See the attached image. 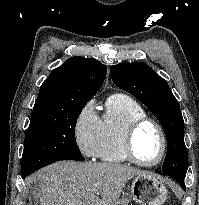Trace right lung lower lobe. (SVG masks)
<instances>
[{"mask_svg":"<svg viewBox=\"0 0 199 205\" xmlns=\"http://www.w3.org/2000/svg\"><path fill=\"white\" fill-rule=\"evenodd\" d=\"M53 163V162H52ZM49 164H51V163H49ZM48 165V164H47ZM28 175H30V174H28ZM28 175H23V176H21L22 177V179H24L25 177H27Z\"/></svg>","mask_w":199,"mask_h":205,"instance_id":"1","label":"right lung lower lobe"}]
</instances>
